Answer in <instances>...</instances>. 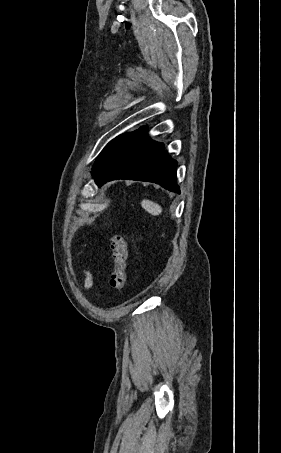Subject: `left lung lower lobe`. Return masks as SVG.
Wrapping results in <instances>:
<instances>
[{"label":"left lung lower lobe","instance_id":"0a47b994","mask_svg":"<svg viewBox=\"0 0 281 453\" xmlns=\"http://www.w3.org/2000/svg\"><path fill=\"white\" fill-rule=\"evenodd\" d=\"M146 128L122 134L110 141L93 166L98 186L115 179L154 182L172 192L176 183L177 162L168 156L162 143L151 140Z\"/></svg>","mask_w":281,"mask_h":453}]
</instances>
